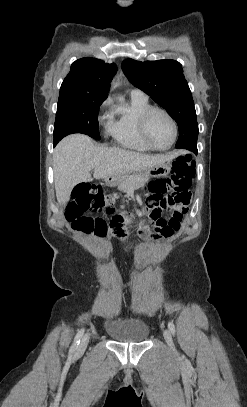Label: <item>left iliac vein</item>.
I'll return each mask as SVG.
<instances>
[{"instance_id": "4c4485c4", "label": "left iliac vein", "mask_w": 247, "mask_h": 407, "mask_svg": "<svg viewBox=\"0 0 247 407\" xmlns=\"http://www.w3.org/2000/svg\"><path fill=\"white\" fill-rule=\"evenodd\" d=\"M164 338L170 348H174L173 340H172V335L168 329H165L163 332Z\"/></svg>"}]
</instances>
